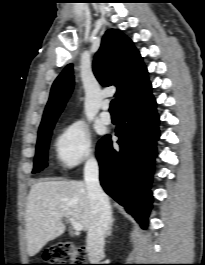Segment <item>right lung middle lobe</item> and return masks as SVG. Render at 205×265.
Wrapping results in <instances>:
<instances>
[{
  "label": "right lung middle lobe",
  "mask_w": 205,
  "mask_h": 265,
  "mask_svg": "<svg viewBox=\"0 0 205 265\" xmlns=\"http://www.w3.org/2000/svg\"><path fill=\"white\" fill-rule=\"evenodd\" d=\"M53 127L54 124L39 130L33 173H37L47 166V151Z\"/></svg>",
  "instance_id": "dd1d6c3e"
}]
</instances>
